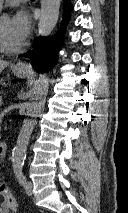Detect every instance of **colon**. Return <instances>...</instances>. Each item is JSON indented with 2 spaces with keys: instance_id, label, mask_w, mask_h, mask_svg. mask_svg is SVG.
Returning a JSON list of instances; mask_svg holds the SVG:
<instances>
[{
  "instance_id": "1",
  "label": "colon",
  "mask_w": 128,
  "mask_h": 213,
  "mask_svg": "<svg viewBox=\"0 0 128 213\" xmlns=\"http://www.w3.org/2000/svg\"><path fill=\"white\" fill-rule=\"evenodd\" d=\"M0 196L3 198V202L10 210V212H17L18 211V204L17 201L12 194L10 188L5 183H0Z\"/></svg>"
}]
</instances>
